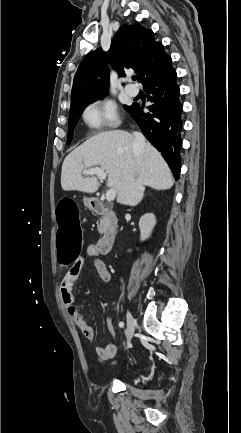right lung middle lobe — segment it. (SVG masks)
Masks as SVG:
<instances>
[{
  "mask_svg": "<svg viewBox=\"0 0 241 433\" xmlns=\"http://www.w3.org/2000/svg\"><path fill=\"white\" fill-rule=\"evenodd\" d=\"M104 96L93 98V99H86L77 102L75 105L71 106L70 113H69V129L67 134V142L70 144L73 136V130L76 126L77 121L79 120L81 114L83 113L84 109L87 105L90 103L103 98ZM130 106L127 107V110H129Z\"/></svg>",
  "mask_w": 241,
  "mask_h": 433,
  "instance_id": "obj_1",
  "label": "right lung middle lobe"
}]
</instances>
